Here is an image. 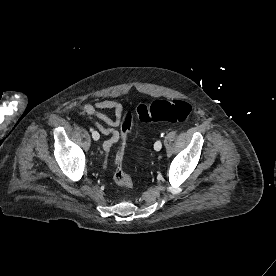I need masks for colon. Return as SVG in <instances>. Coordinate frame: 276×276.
<instances>
[{
	"mask_svg": "<svg viewBox=\"0 0 276 276\" xmlns=\"http://www.w3.org/2000/svg\"><path fill=\"white\" fill-rule=\"evenodd\" d=\"M192 111L191 105L183 100H157L150 105L139 104L135 109L138 119L145 123H154L160 121L183 122ZM133 122V114L126 113L123 117V128L128 131ZM115 184L126 190L133 188V182L127 173L125 164L120 160L115 168L113 176Z\"/></svg>",
	"mask_w": 276,
	"mask_h": 276,
	"instance_id": "5ec220e1",
	"label": "colon"
}]
</instances>
